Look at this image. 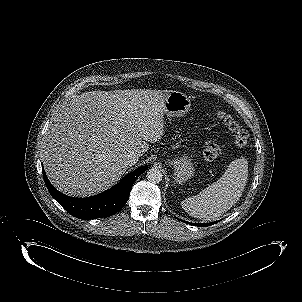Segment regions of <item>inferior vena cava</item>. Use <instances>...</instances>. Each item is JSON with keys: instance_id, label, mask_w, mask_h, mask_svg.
I'll return each instance as SVG.
<instances>
[{"instance_id": "inferior-vena-cava-1", "label": "inferior vena cava", "mask_w": 302, "mask_h": 302, "mask_svg": "<svg viewBox=\"0 0 302 302\" xmlns=\"http://www.w3.org/2000/svg\"><path fill=\"white\" fill-rule=\"evenodd\" d=\"M140 155L136 152H130L125 157V162L128 166L135 165L139 160Z\"/></svg>"}]
</instances>
